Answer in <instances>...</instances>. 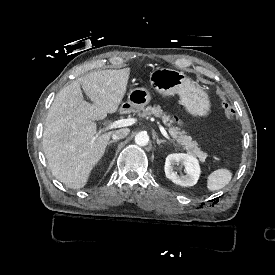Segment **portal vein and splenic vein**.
<instances>
[{
	"instance_id": "portal-vein-and-splenic-vein-1",
	"label": "portal vein and splenic vein",
	"mask_w": 275,
	"mask_h": 275,
	"mask_svg": "<svg viewBox=\"0 0 275 275\" xmlns=\"http://www.w3.org/2000/svg\"><path fill=\"white\" fill-rule=\"evenodd\" d=\"M134 122L133 119H121V120H116L111 122L108 126L103 127L101 129H99L98 131H96L94 133V136L91 139V143H94L97 138L102 135L103 133L109 131V130H113L116 128H122V127H126V126H130L132 125V123ZM161 133L162 135L170 142L172 143L176 148H178L179 150L183 151L184 148H182L179 144H177L167 133V131L164 128H161Z\"/></svg>"
}]
</instances>
